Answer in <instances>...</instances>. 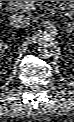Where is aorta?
Masks as SVG:
<instances>
[{"instance_id": "762f6f07", "label": "aorta", "mask_w": 74, "mask_h": 122, "mask_svg": "<svg viewBox=\"0 0 74 122\" xmlns=\"http://www.w3.org/2000/svg\"><path fill=\"white\" fill-rule=\"evenodd\" d=\"M38 52L44 58H50L59 52L58 41L55 37L45 34L37 42Z\"/></svg>"}]
</instances>
